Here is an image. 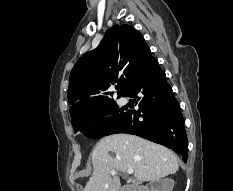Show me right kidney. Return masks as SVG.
I'll use <instances>...</instances> for the list:
<instances>
[{
    "mask_svg": "<svg viewBox=\"0 0 233 191\" xmlns=\"http://www.w3.org/2000/svg\"><path fill=\"white\" fill-rule=\"evenodd\" d=\"M174 187V180L171 178H164L157 182V186L152 188V191H172Z\"/></svg>",
    "mask_w": 233,
    "mask_h": 191,
    "instance_id": "right-kidney-1",
    "label": "right kidney"
}]
</instances>
